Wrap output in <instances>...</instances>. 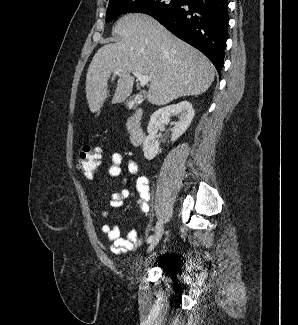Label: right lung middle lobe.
Wrapping results in <instances>:
<instances>
[{
	"label": "right lung middle lobe",
	"instance_id": "right-lung-middle-lobe-1",
	"mask_svg": "<svg viewBox=\"0 0 298 325\" xmlns=\"http://www.w3.org/2000/svg\"><path fill=\"white\" fill-rule=\"evenodd\" d=\"M185 0H113L109 2L106 22L126 12H139L156 16L162 12L179 8Z\"/></svg>",
	"mask_w": 298,
	"mask_h": 325
}]
</instances>
